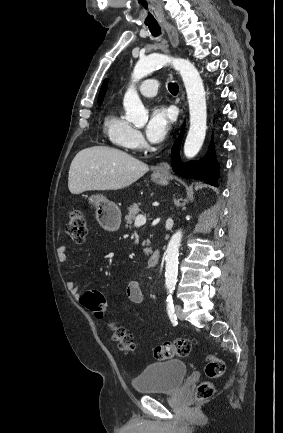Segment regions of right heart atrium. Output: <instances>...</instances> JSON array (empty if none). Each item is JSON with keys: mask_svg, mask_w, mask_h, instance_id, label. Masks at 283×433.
I'll list each match as a JSON object with an SVG mask.
<instances>
[{"mask_svg": "<svg viewBox=\"0 0 283 433\" xmlns=\"http://www.w3.org/2000/svg\"><path fill=\"white\" fill-rule=\"evenodd\" d=\"M124 145H143V138L139 130L132 128L131 131L126 136L124 142Z\"/></svg>", "mask_w": 283, "mask_h": 433, "instance_id": "obj_1", "label": "right heart atrium"}]
</instances>
